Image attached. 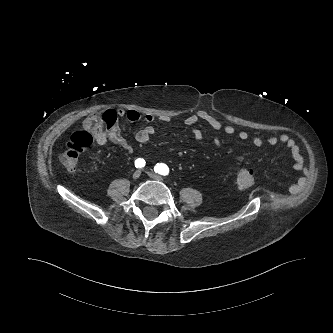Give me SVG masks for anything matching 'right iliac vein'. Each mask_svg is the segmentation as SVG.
I'll return each mask as SVG.
<instances>
[{
    "label": "right iliac vein",
    "instance_id": "obj_1",
    "mask_svg": "<svg viewBox=\"0 0 333 333\" xmlns=\"http://www.w3.org/2000/svg\"><path fill=\"white\" fill-rule=\"evenodd\" d=\"M140 176H141V172L138 171V170L135 171V172L133 173V175H132L133 179H135V180L139 179Z\"/></svg>",
    "mask_w": 333,
    "mask_h": 333
}]
</instances>
